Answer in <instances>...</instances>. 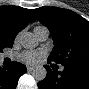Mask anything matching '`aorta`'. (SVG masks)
Returning a JSON list of instances; mask_svg holds the SVG:
<instances>
[{
	"label": "aorta",
	"instance_id": "aorta-1",
	"mask_svg": "<svg viewBox=\"0 0 89 89\" xmlns=\"http://www.w3.org/2000/svg\"><path fill=\"white\" fill-rule=\"evenodd\" d=\"M21 45L26 49H33L37 47L38 40L36 36L31 32H23L19 36ZM47 75V71L44 67L39 66L33 72L32 76L35 80L41 81L44 80Z\"/></svg>",
	"mask_w": 89,
	"mask_h": 89
}]
</instances>
